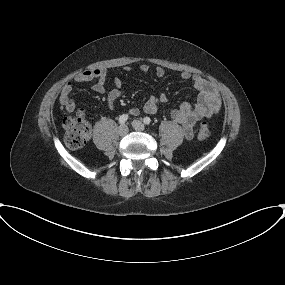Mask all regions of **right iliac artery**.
<instances>
[{
  "label": "right iliac artery",
  "instance_id": "right-iliac-artery-1",
  "mask_svg": "<svg viewBox=\"0 0 285 285\" xmlns=\"http://www.w3.org/2000/svg\"><path fill=\"white\" fill-rule=\"evenodd\" d=\"M128 120V115L127 114H123L119 117V123L120 124H124L126 121Z\"/></svg>",
  "mask_w": 285,
  "mask_h": 285
}]
</instances>
